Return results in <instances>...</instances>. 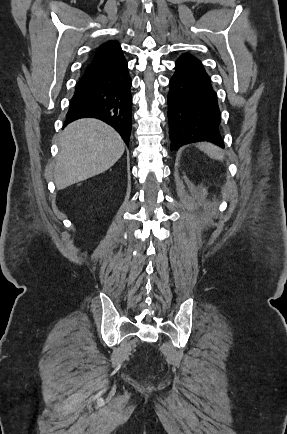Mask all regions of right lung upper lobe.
<instances>
[{"instance_id":"cb5924a9","label":"right lung upper lobe","mask_w":287,"mask_h":434,"mask_svg":"<svg viewBox=\"0 0 287 434\" xmlns=\"http://www.w3.org/2000/svg\"><path fill=\"white\" fill-rule=\"evenodd\" d=\"M119 51H121V47H120L118 42L108 41V42L103 43L102 45H100L98 47L92 60H98V59L107 57L109 55H112L114 53H117Z\"/></svg>"}]
</instances>
